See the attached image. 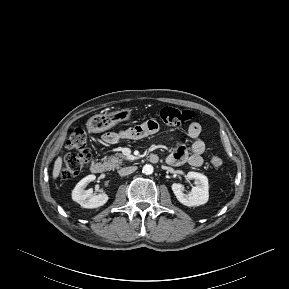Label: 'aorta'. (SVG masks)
<instances>
[{
    "mask_svg": "<svg viewBox=\"0 0 289 289\" xmlns=\"http://www.w3.org/2000/svg\"><path fill=\"white\" fill-rule=\"evenodd\" d=\"M142 172L146 175L152 174L153 173V166L150 164L144 165Z\"/></svg>",
    "mask_w": 289,
    "mask_h": 289,
    "instance_id": "762f6f07",
    "label": "aorta"
}]
</instances>
